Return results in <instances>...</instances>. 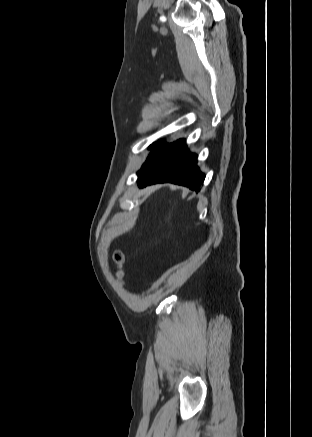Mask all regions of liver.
Returning <instances> with one entry per match:
<instances>
[{"label":"liver","instance_id":"1","mask_svg":"<svg viewBox=\"0 0 312 437\" xmlns=\"http://www.w3.org/2000/svg\"><path fill=\"white\" fill-rule=\"evenodd\" d=\"M154 189H155V187L147 188V189H146V192H151V191H153Z\"/></svg>","mask_w":312,"mask_h":437}]
</instances>
